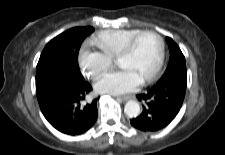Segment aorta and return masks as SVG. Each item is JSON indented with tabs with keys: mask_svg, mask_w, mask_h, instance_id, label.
Returning <instances> with one entry per match:
<instances>
[{
	"mask_svg": "<svg viewBox=\"0 0 225 155\" xmlns=\"http://www.w3.org/2000/svg\"><path fill=\"white\" fill-rule=\"evenodd\" d=\"M140 111V105L137 101L130 100L125 104L124 112L130 118L139 116Z\"/></svg>",
	"mask_w": 225,
	"mask_h": 155,
	"instance_id": "aorta-1",
	"label": "aorta"
}]
</instances>
